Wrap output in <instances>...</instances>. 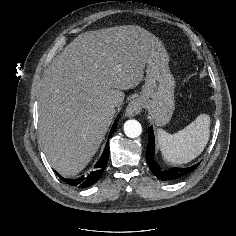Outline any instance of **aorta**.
<instances>
[{
	"instance_id": "1",
	"label": "aorta",
	"mask_w": 236,
	"mask_h": 236,
	"mask_svg": "<svg viewBox=\"0 0 236 236\" xmlns=\"http://www.w3.org/2000/svg\"><path fill=\"white\" fill-rule=\"evenodd\" d=\"M124 133L127 137L136 138L142 133V126L137 120H128L124 124Z\"/></svg>"
}]
</instances>
